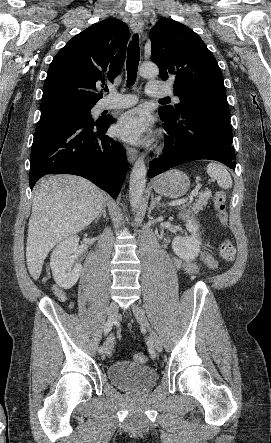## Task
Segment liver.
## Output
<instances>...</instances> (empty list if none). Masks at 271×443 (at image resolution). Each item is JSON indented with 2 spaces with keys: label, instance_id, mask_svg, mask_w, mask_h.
<instances>
[{
  "label": "liver",
  "instance_id": "1",
  "mask_svg": "<svg viewBox=\"0 0 271 443\" xmlns=\"http://www.w3.org/2000/svg\"><path fill=\"white\" fill-rule=\"evenodd\" d=\"M104 204L101 190L80 176L59 174L37 182L26 243L27 267L33 279H38L52 247L94 222Z\"/></svg>",
  "mask_w": 271,
  "mask_h": 443
}]
</instances>
